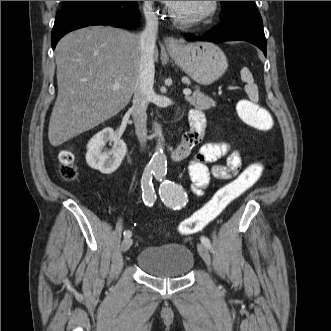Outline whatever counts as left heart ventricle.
Masks as SVG:
<instances>
[{
  "label": "left heart ventricle",
  "instance_id": "left-heart-ventricle-1",
  "mask_svg": "<svg viewBox=\"0 0 331 331\" xmlns=\"http://www.w3.org/2000/svg\"><path fill=\"white\" fill-rule=\"evenodd\" d=\"M208 1H177L171 7L178 15L189 17L196 15L207 7Z\"/></svg>",
  "mask_w": 331,
  "mask_h": 331
}]
</instances>
